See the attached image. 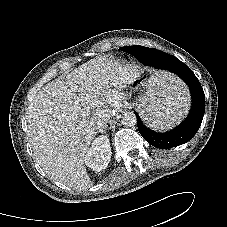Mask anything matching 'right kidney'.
<instances>
[{"label":"right kidney","instance_id":"obj_1","mask_svg":"<svg viewBox=\"0 0 227 227\" xmlns=\"http://www.w3.org/2000/svg\"><path fill=\"white\" fill-rule=\"evenodd\" d=\"M111 147L106 135H101L92 143L85 156V164L96 172H100L108 166L111 159Z\"/></svg>","mask_w":227,"mask_h":227}]
</instances>
